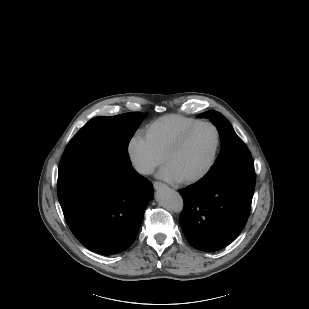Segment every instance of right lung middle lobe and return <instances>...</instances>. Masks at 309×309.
Segmentation results:
<instances>
[{
  "label": "right lung middle lobe",
  "mask_w": 309,
  "mask_h": 309,
  "mask_svg": "<svg viewBox=\"0 0 309 309\" xmlns=\"http://www.w3.org/2000/svg\"><path fill=\"white\" fill-rule=\"evenodd\" d=\"M145 116L133 112L91 119L69 142L59 166L58 184L90 164L131 165L127 147Z\"/></svg>",
  "instance_id": "1"
}]
</instances>
